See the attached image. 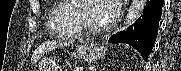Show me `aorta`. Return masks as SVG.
I'll return each instance as SVG.
<instances>
[{"label": "aorta", "instance_id": "aorta-1", "mask_svg": "<svg viewBox=\"0 0 181 71\" xmlns=\"http://www.w3.org/2000/svg\"><path fill=\"white\" fill-rule=\"evenodd\" d=\"M145 6L146 0H132L122 23L123 30L133 25L141 17Z\"/></svg>", "mask_w": 181, "mask_h": 71}]
</instances>
